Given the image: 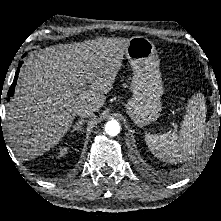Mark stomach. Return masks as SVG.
Segmentation results:
<instances>
[{
    "instance_id": "obj_1",
    "label": "stomach",
    "mask_w": 221,
    "mask_h": 221,
    "mask_svg": "<svg viewBox=\"0 0 221 221\" xmlns=\"http://www.w3.org/2000/svg\"><path fill=\"white\" fill-rule=\"evenodd\" d=\"M125 54L133 70L132 98L126 104V112L143 127L156 121L162 111L160 60L153 42L143 36L130 38Z\"/></svg>"
}]
</instances>
